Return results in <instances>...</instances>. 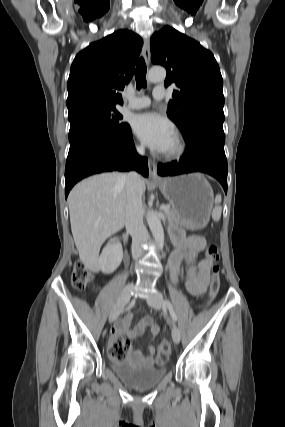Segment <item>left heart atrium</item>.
Returning <instances> with one entry per match:
<instances>
[{"instance_id": "obj_1", "label": "left heart atrium", "mask_w": 285, "mask_h": 427, "mask_svg": "<svg viewBox=\"0 0 285 427\" xmlns=\"http://www.w3.org/2000/svg\"><path fill=\"white\" fill-rule=\"evenodd\" d=\"M133 129L145 145L157 152H165L175 134L172 123L154 112L138 115L133 122Z\"/></svg>"}]
</instances>
